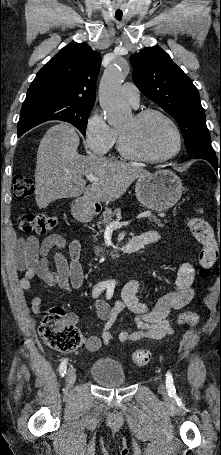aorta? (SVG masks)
Returning <instances> with one entry per match:
<instances>
[{
	"label": "aorta",
	"instance_id": "1",
	"mask_svg": "<svg viewBox=\"0 0 221 455\" xmlns=\"http://www.w3.org/2000/svg\"><path fill=\"white\" fill-rule=\"evenodd\" d=\"M127 64H115L108 67L100 81L99 101L109 125L118 126L126 122L131 109L120 96V86L129 73Z\"/></svg>",
	"mask_w": 221,
	"mask_h": 455
}]
</instances>
